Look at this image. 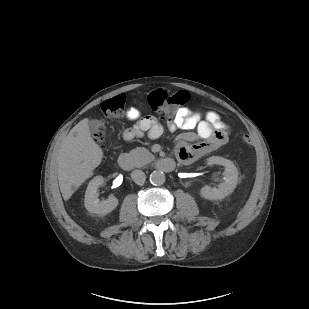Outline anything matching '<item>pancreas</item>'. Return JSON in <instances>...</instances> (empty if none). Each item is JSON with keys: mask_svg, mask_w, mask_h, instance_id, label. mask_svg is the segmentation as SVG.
Instances as JSON below:
<instances>
[{"mask_svg": "<svg viewBox=\"0 0 309 309\" xmlns=\"http://www.w3.org/2000/svg\"><path fill=\"white\" fill-rule=\"evenodd\" d=\"M130 157L136 167L140 168L152 162L155 156L144 147H137L129 152Z\"/></svg>", "mask_w": 309, "mask_h": 309, "instance_id": "1", "label": "pancreas"}]
</instances>
